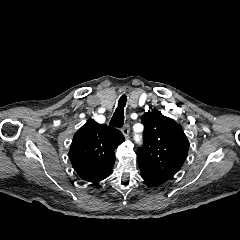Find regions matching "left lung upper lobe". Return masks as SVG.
<instances>
[{"mask_svg": "<svg viewBox=\"0 0 240 240\" xmlns=\"http://www.w3.org/2000/svg\"><path fill=\"white\" fill-rule=\"evenodd\" d=\"M143 146L137 151L139 167L170 180L182 167L189 142L181 127L160 111L146 112Z\"/></svg>", "mask_w": 240, "mask_h": 240, "instance_id": "left-lung-upper-lobe-1", "label": "left lung upper lobe"}]
</instances>
